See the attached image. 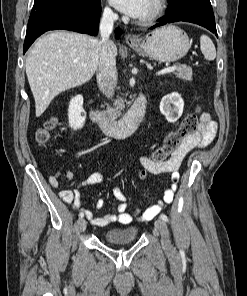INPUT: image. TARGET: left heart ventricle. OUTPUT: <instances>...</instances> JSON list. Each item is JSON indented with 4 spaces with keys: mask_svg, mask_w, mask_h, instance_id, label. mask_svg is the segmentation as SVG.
Listing matches in <instances>:
<instances>
[{
    "mask_svg": "<svg viewBox=\"0 0 247 296\" xmlns=\"http://www.w3.org/2000/svg\"><path fill=\"white\" fill-rule=\"evenodd\" d=\"M152 1H153V0L150 1V3H149V7H148L147 11L145 12V14H144L142 17H140V18H144V17H146V16L151 12V10H152V8H153V2H152Z\"/></svg>",
    "mask_w": 247,
    "mask_h": 296,
    "instance_id": "left-heart-ventricle-1",
    "label": "left heart ventricle"
}]
</instances>
